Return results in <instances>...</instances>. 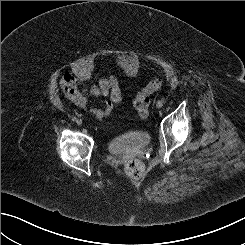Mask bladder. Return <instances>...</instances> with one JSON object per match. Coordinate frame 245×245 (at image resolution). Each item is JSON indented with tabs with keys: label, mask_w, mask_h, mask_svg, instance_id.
I'll return each instance as SVG.
<instances>
[{
	"label": "bladder",
	"mask_w": 245,
	"mask_h": 245,
	"mask_svg": "<svg viewBox=\"0 0 245 245\" xmlns=\"http://www.w3.org/2000/svg\"><path fill=\"white\" fill-rule=\"evenodd\" d=\"M148 140L142 129H130L113 136L109 140V150L115 155H131Z\"/></svg>",
	"instance_id": "31cf9c89"
}]
</instances>
